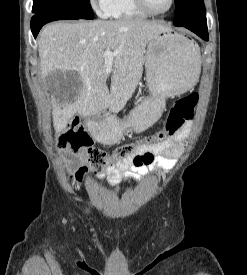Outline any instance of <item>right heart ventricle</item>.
I'll use <instances>...</instances> for the list:
<instances>
[{
	"mask_svg": "<svg viewBox=\"0 0 247 275\" xmlns=\"http://www.w3.org/2000/svg\"><path fill=\"white\" fill-rule=\"evenodd\" d=\"M109 17L114 19L145 18L147 14L138 8L134 0H112Z\"/></svg>",
	"mask_w": 247,
	"mask_h": 275,
	"instance_id": "e07e8e85",
	"label": "right heart ventricle"
}]
</instances>
